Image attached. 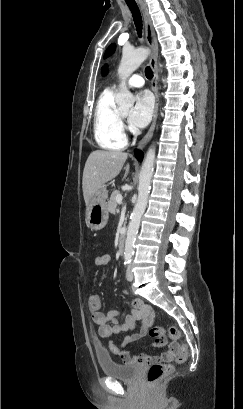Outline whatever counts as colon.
I'll use <instances>...</instances> for the list:
<instances>
[{"label": "colon", "mask_w": 243, "mask_h": 409, "mask_svg": "<svg viewBox=\"0 0 243 409\" xmlns=\"http://www.w3.org/2000/svg\"><path fill=\"white\" fill-rule=\"evenodd\" d=\"M90 309L94 312H98L101 308V302L98 297H91L89 299ZM151 335L158 341L165 339V330L162 327H153L150 330ZM169 337L172 340L178 342L176 361L181 363L186 360L188 355V348L182 341L180 332L177 328L171 327L168 330ZM174 366L171 363H152L147 373V381L152 385L158 384L164 378L169 376L173 372Z\"/></svg>", "instance_id": "colon-1"}]
</instances>
